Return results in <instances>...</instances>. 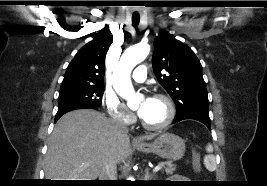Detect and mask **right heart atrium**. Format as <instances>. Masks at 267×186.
Wrapping results in <instances>:
<instances>
[{
    "mask_svg": "<svg viewBox=\"0 0 267 186\" xmlns=\"http://www.w3.org/2000/svg\"><path fill=\"white\" fill-rule=\"evenodd\" d=\"M102 104L111 119L123 125H129L132 123L134 119L133 114L121 102L114 91L109 89L104 91L102 96Z\"/></svg>",
    "mask_w": 267,
    "mask_h": 186,
    "instance_id": "1",
    "label": "right heart atrium"
}]
</instances>
